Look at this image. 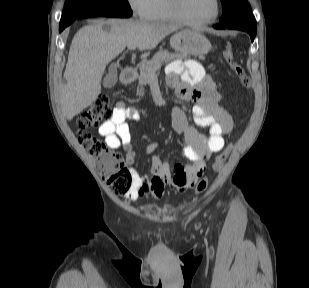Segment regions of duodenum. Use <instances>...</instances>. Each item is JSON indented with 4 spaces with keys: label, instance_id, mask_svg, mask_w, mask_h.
I'll list each match as a JSON object with an SVG mask.
<instances>
[{
    "label": "duodenum",
    "instance_id": "duodenum-1",
    "mask_svg": "<svg viewBox=\"0 0 309 288\" xmlns=\"http://www.w3.org/2000/svg\"><path fill=\"white\" fill-rule=\"evenodd\" d=\"M135 69L128 67L122 70L121 75H120V80L122 83H130L134 80L135 78Z\"/></svg>",
    "mask_w": 309,
    "mask_h": 288
}]
</instances>
